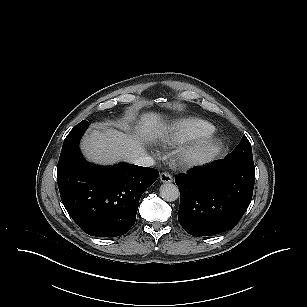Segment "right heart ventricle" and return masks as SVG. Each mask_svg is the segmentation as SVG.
<instances>
[{"label": "right heart ventricle", "mask_w": 307, "mask_h": 307, "mask_svg": "<svg viewBox=\"0 0 307 307\" xmlns=\"http://www.w3.org/2000/svg\"><path fill=\"white\" fill-rule=\"evenodd\" d=\"M215 127L202 119L183 117L173 121L166 132L158 137V142L164 145L183 144L214 134Z\"/></svg>", "instance_id": "1"}]
</instances>
